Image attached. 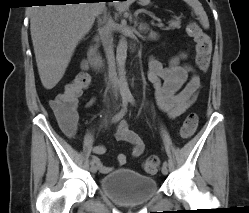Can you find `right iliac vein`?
<instances>
[{"instance_id":"63e3f726","label":"right iliac vein","mask_w":249,"mask_h":213,"mask_svg":"<svg viewBox=\"0 0 249 213\" xmlns=\"http://www.w3.org/2000/svg\"><path fill=\"white\" fill-rule=\"evenodd\" d=\"M90 171L92 172V173H96L97 172V166L96 165H91V167H90Z\"/></svg>"}]
</instances>
